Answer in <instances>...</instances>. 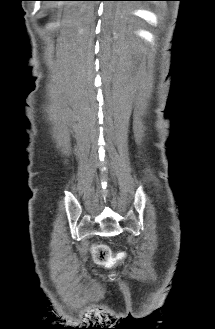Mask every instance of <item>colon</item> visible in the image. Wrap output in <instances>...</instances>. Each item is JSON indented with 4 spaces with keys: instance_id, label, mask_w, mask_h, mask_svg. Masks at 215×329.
<instances>
[{
    "instance_id": "obj_1",
    "label": "colon",
    "mask_w": 215,
    "mask_h": 329,
    "mask_svg": "<svg viewBox=\"0 0 215 329\" xmlns=\"http://www.w3.org/2000/svg\"><path fill=\"white\" fill-rule=\"evenodd\" d=\"M92 255L94 261L99 265H107L112 261V253L108 246L106 245H95L92 248ZM125 252H120L117 255L118 259L125 258Z\"/></svg>"
}]
</instances>
